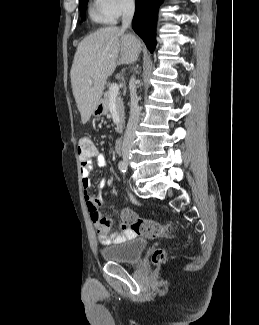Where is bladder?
<instances>
[{
	"instance_id": "1",
	"label": "bladder",
	"mask_w": 259,
	"mask_h": 325,
	"mask_svg": "<svg viewBox=\"0 0 259 325\" xmlns=\"http://www.w3.org/2000/svg\"><path fill=\"white\" fill-rule=\"evenodd\" d=\"M146 247V239L135 238L127 242L106 246L100 250V253L107 262L134 264L140 260Z\"/></svg>"
}]
</instances>
